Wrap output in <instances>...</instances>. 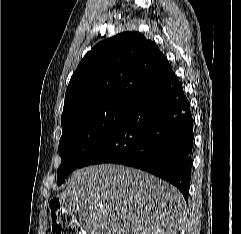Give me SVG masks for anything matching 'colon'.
<instances>
[{"instance_id":"colon-1","label":"colon","mask_w":241,"mask_h":234,"mask_svg":"<svg viewBox=\"0 0 241 234\" xmlns=\"http://www.w3.org/2000/svg\"><path fill=\"white\" fill-rule=\"evenodd\" d=\"M50 222L54 234H82L77 220L61 206L58 199L50 204Z\"/></svg>"}]
</instances>
